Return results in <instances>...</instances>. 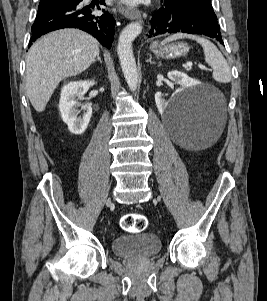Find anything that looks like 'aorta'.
<instances>
[{"label":"aorta","mask_w":267,"mask_h":301,"mask_svg":"<svg viewBox=\"0 0 267 301\" xmlns=\"http://www.w3.org/2000/svg\"><path fill=\"white\" fill-rule=\"evenodd\" d=\"M140 22L127 25L119 36L117 54L119 56L121 69L131 91H136L138 85V72L132 50V42L141 33Z\"/></svg>","instance_id":"762f6f07"}]
</instances>
